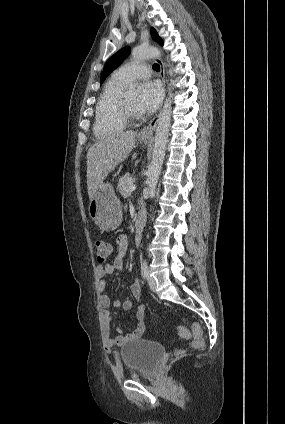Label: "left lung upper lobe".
Returning <instances> with one entry per match:
<instances>
[{"label": "left lung upper lobe", "instance_id": "1", "mask_svg": "<svg viewBox=\"0 0 285 424\" xmlns=\"http://www.w3.org/2000/svg\"><path fill=\"white\" fill-rule=\"evenodd\" d=\"M151 34L152 37L160 44L163 45L162 39L158 36L156 30L154 28H151ZM130 54V47L126 46L116 52L113 56H111L108 61L106 62L101 79L100 84L103 83V81L107 78V76L115 69L117 68Z\"/></svg>", "mask_w": 285, "mask_h": 424}]
</instances>
